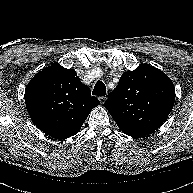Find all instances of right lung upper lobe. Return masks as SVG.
Instances as JSON below:
<instances>
[{"instance_id":"obj_1","label":"right lung upper lobe","mask_w":193,"mask_h":193,"mask_svg":"<svg viewBox=\"0 0 193 193\" xmlns=\"http://www.w3.org/2000/svg\"><path fill=\"white\" fill-rule=\"evenodd\" d=\"M75 70L55 63L37 73L25 89L26 109L45 134L65 139L79 132L90 111L100 104Z\"/></svg>"}]
</instances>
